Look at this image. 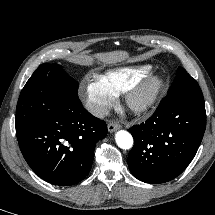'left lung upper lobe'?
I'll return each instance as SVG.
<instances>
[{
  "mask_svg": "<svg viewBox=\"0 0 215 215\" xmlns=\"http://www.w3.org/2000/svg\"><path fill=\"white\" fill-rule=\"evenodd\" d=\"M168 95L204 99L196 80L182 67L178 68L176 78L168 90Z\"/></svg>",
  "mask_w": 215,
  "mask_h": 215,
  "instance_id": "obj_1",
  "label": "left lung upper lobe"
}]
</instances>
